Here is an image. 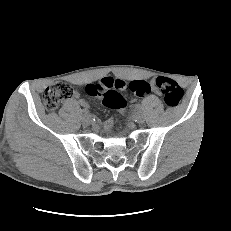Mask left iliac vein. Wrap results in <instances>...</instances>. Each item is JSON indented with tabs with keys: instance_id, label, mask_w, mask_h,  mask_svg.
Wrapping results in <instances>:
<instances>
[{
	"instance_id": "1",
	"label": "left iliac vein",
	"mask_w": 231,
	"mask_h": 231,
	"mask_svg": "<svg viewBox=\"0 0 231 231\" xmlns=\"http://www.w3.org/2000/svg\"><path fill=\"white\" fill-rule=\"evenodd\" d=\"M135 119H136V121L138 122V123H143L144 122V120H145V118H144V115L142 114V113H137L136 115H135Z\"/></svg>"
}]
</instances>
